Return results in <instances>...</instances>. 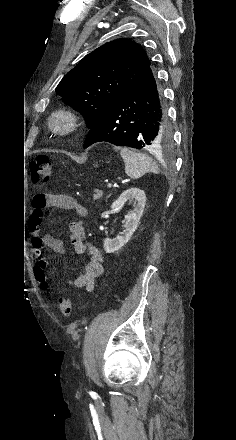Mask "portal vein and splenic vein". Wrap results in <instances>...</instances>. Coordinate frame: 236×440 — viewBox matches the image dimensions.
Listing matches in <instances>:
<instances>
[{"instance_id":"1","label":"portal vein and splenic vein","mask_w":236,"mask_h":440,"mask_svg":"<svg viewBox=\"0 0 236 440\" xmlns=\"http://www.w3.org/2000/svg\"><path fill=\"white\" fill-rule=\"evenodd\" d=\"M111 187H112V183H109V184H108V188H111Z\"/></svg>"}]
</instances>
